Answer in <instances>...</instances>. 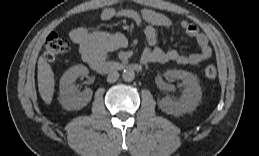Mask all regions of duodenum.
Listing matches in <instances>:
<instances>
[{
    "instance_id": "obj_1",
    "label": "duodenum",
    "mask_w": 259,
    "mask_h": 156,
    "mask_svg": "<svg viewBox=\"0 0 259 156\" xmlns=\"http://www.w3.org/2000/svg\"><path fill=\"white\" fill-rule=\"evenodd\" d=\"M91 67L102 74H109L118 71H136L139 72L142 70V66L139 63H125L122 61H94L91 64Z\"/></svg>"
}]
</instances>
